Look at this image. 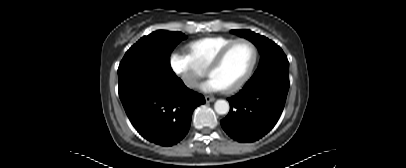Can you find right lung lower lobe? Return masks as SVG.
<instances>
[{
  "label": "right lung lower lobe",
  "instance_id": "98d812e1",
  "mask_svg": "<svg viewBox=\"0 0 406 168\" xmlns=\"http://www.w3.org/2000/svg\"><path fill=\"white\" fill-rule=\"evenodd\" d=\"M134 128L150 142L172 146L188 133L193 110L205 99L178 77L134 88L120 96Z\"/></svg>",
  "mask_w": 406,
  "mask_h": 168
}]
</instances>
